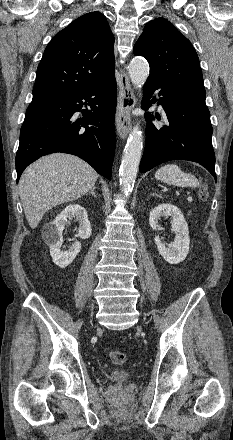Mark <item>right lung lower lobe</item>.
Returning <instances> with one entry per match:
<instances>
[{
  "instance_id": "98d812e1",
  "label": "right lung lower lobe",
  "mask_w": 233,
  "mask_h": 440,
  "mask_svg": "<svg viewBox=\"0 0 233 440\" xmlns=\"http://www.w3.org/2000/svg\"><path fill=\"white\" fill-rule=\"evenodd\" d=\"M116 100L115 75L87 89L33 98L20 132L17 182L30 163L53 152L77 155L110 180ZM87 103L91 111L81 110ZM77 111L84 117L75 120Z\"/></svg>"
}]
</instances>
